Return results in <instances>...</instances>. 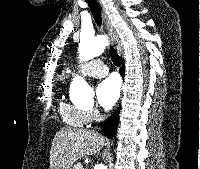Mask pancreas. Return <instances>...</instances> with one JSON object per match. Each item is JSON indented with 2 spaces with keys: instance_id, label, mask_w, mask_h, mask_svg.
<instances>
[{
  "instance_id": "cf45deb5",
  "label": "pancreas",
  "mask_w": 200,
  "mask_h": 169,
  "mask_svg": "<svg viewBox=\"0 0 200 169\" xmlns=\"http://www.w3.org/2000/svg\"><path fill=\"white\" fill-rule=\"evenodd\" d=\"M72 169H84L81 164H75Z\"/></svg>"
}]
</instances>
